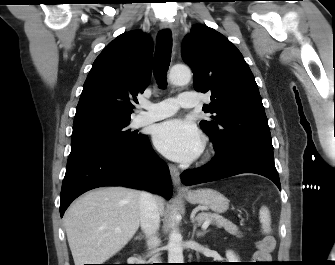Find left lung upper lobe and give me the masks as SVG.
Here are the masks:
<instances>
[{"mask_svg":"<svg viewBox=\"0 0 335 265\" xmlns=\"http://www.w3.org/2000/svg\"><path fill=\"white\" fill-rule=\"evenodd\" d=\"M182 58L193 71L194 88L211 93L200 122L215 151L235 143H252L273 150L268 120L255 78L241 52L225 36L194 25L182 46Z\"/></svg>","mask_w":335,"mask_h":265,"instance_id":"1","label":"left lung upper lobe"}]
</instances>
